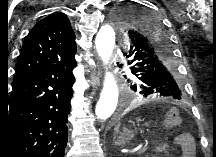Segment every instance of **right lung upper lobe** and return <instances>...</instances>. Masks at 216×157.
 Segmentation results:
<instances>
[{
	"label": "right lung upper lobe",
	"instance_id": "right-lung-upper-lobe-1",
	"mask_svg": "<svg viewBox=\"0 0 216 157\" xmlns=\"http://www.w3.org/2000/svg\"><path fill=\"white\" fill-rule=\"evenodd\" d=\"M76 53L75 35L69 19L54 12L39 21L27 35L18 59L13 86L45 67Z\"/></svg>",
	"mask_w": 216,
	"mask_h": 157
}]
</instances>
